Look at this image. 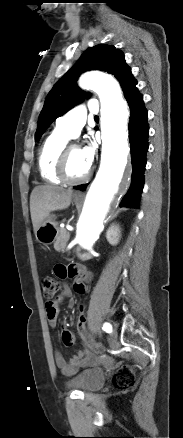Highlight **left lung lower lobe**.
I'll list each match as a JSON object with an SVG mask.
<instances>
[{
    "mask_svg": "<svg viewBox=\"0 0 183 438\" xmlns=\"http://www.w3.org/2000/svg\"><path fill=\"white\" fill-rule=\"evenodd\" d=\"M137 82L133 78L123 89L124 96L130 107L129 140L131 146L132 177L131 186L123 197L120 206L139 208L138 202L144 186V169L146 166V152L148 150L147 110L143 96L136 88ZM87 184L75 186L74 189L84 191Z\"/></svg>",
    "mask_w": 183,
    "mask_h": 438,
    "instance_id": "0a47b994",
    "label": "left lung lower lobe"
}]
</instances>
